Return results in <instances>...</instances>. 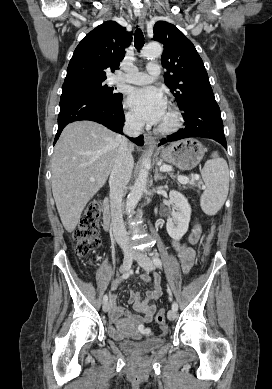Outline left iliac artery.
Wrapping results in <instances>:
<instances>
[{"mask_svg":"<svg viewBox=\"0 0 272 389\" xmlns=\"http://www.w3.org/2000/svg\"><path fill=\"white\" fill-rule=\"evenodd\" d=\"M153 262H154V264H155L157 267H159V268L162 266V261L160 260L159 257H156V256L153 257ZM168 292H169V295H171L169 289H168ZM172 310H174V311H177V310H178V305H177L176 302H173V304H172Z\"/></svg>","mask_w":272,"mask_h":389,"instance_id":"left-iliac-artery-1","label":"left iliac artery"}]
</instances>
